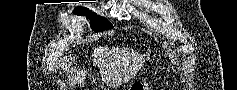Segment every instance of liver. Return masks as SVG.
Listing matches in <instances>:
<instances>
[{
    "instance_id": "obj_1",
    "label": "liver",
    "mask_w": 237,
    "mask_h": 90,
    "mask_svg": "<svg viewBox=\"0 0 237 90\" xmlns=\"http://www.w3.org/2000/svg\"><path fill=\"white\" fill-rule=\"evenodd\" d=\"M113 54V52H108L107 48H97V50H94L93 56H97V58H101L100 62L102 64H107V62H110V56ZM72 62V68L70 70L71 72V82H73V86H80V88H83L85 82H86V74L87 70L83 68L81 70L79 64H77L75 56H70Z\"/></svg>"
}]
</instances>
